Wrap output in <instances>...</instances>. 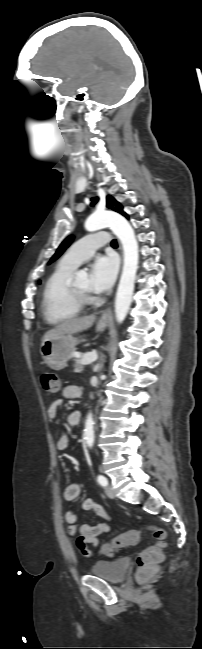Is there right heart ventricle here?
I'll return each instance as SVG.
<instances>
[{
    "mask_svg": "<svg viewBox=\"0 0 202 649\" xmlns=\"http://www.w3.org/2000/svg\"><path fill=\"white\" fill-rule=\"evenodd\" d=\"M75 267L60 262L49 276L42 295V308L45 319L51 324L70 320L82 311L72 297L70 282Z\"/></svg>",
    "mask_w": 202,
    "mask_h": 649,
    "instance_id": "1",
    "label": "right heart ventricle"
}]
</instances>
